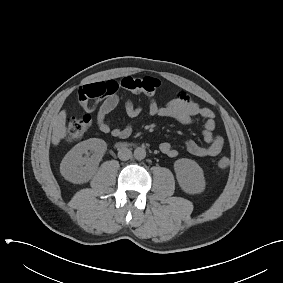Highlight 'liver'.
<instances>
[{
  "mask_svg": "<svg viewBox=\"0 0 283 283\" xmlns=\"http://www.w3.org/2000/svg\"><path fill=\"white\" fill-rule=\"evenodd\" d=\"M52 144L58 145L66 136V111L62 110L53 120Z\"/></svg>",
  "mask_w": 283,
  "mask_h": 283,
  "instance_id": "obj_1",
  "label": "liver"
}]
</instances>
